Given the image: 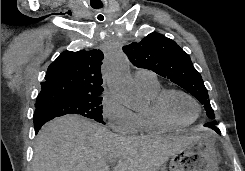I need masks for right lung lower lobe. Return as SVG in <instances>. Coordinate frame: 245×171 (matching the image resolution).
Returning a JSON list of instances; mask_svg holds the SVG:
<instances>
[{
    "mask_svg": "<svg viewBox=\"0 0 245 171\" xmlns=\"http://www.w3.org/2000/svg\"><path fill=\"white\" fill-rule=\"evenodd\" d=\"M53 118H55V116L49 112L41 108L36 109L34 113L35 132L37 133L47 121L52 120Z\"/></svg>",
    "mask_w": 245,
    "mask_h": 171,
    "instance_id": "1",
    "label": "right lung lower lobe"
}]
</instances>
